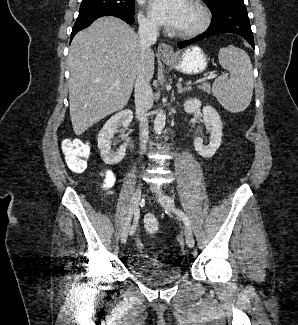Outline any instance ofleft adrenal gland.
<instances>
[{
	"instance_id": "obj_1",
	"label": "left adrenal gland",
	"mask_w": 298,
	"mask_h": 325,
	"mask_svg": "<svg viewBox=\"0 0 298 325\" xmlns=\"http://www.w3.org/2000/svg\"><path fill=\"white\" fill-rule=\"evenodd\" d=\"M176 86L177 92H179V94H182V92H186V90H191V86H182L181 82H178Z\"/></svg>"
}]
</instances>
